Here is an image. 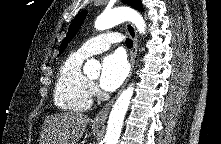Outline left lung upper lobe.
Here are the masks:
<instances>
[{
	"label": "left lung upper lobe",
	"mask_w": 221,
	"mask_h": 144,
	"mask_svg": "<svg viewBox=\"0 0 221 144\" xmlns=\"http://www.w3.org/2000/svg\"><path fill=\"white\" fill-rule=\"evenodd\" d=\"M125 3L131 5L132 7L143 11V6L141 5V1L140 0H124ZM87 15V11L84 10L82 12H80L72 21L70 28L68 30L67 36L65 37L61 48H60V52L59 54H61L63 52V50L65 49V47L67 46V44L71 41V39L76 35V33L78 32L79 28L81 27L84 19L86 18Z\"/></svg>",
	"instance_id": "obj_1"
}]
</instances>
